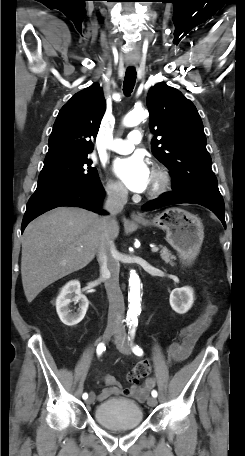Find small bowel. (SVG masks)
Instances as JSON below:
<instances>
[{"label": "small bowel", "instance_id": "c3829d8e", "mask_svg": "<svg viewBox=\"0 0 245 456\" xmlns=\"http://www.w3.org/2000/svg\"><path fill=\"white\" fill-rule=\"evenodd\" d=\"M215 312L216 307L207 302L198 318L181 329L178 340L167 347L170 360L180 362L190 356L199 337L208 328ZM103 382L106 388L98 395L99 401L110 396H128L137 401H143L156 383L154 378H148L141 386L135 383L130 388H123L111 375L104 376Z\"/></svg>", "mask_w": 245, "mask_h": 456}]
</instances>
